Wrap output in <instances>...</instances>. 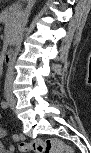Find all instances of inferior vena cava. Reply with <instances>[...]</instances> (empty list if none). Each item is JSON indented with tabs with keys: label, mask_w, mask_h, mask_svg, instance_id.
I'll list each match as a JSON object with an SVG mask.
<instances>
[{
	"label": "inferior vena cava",
	"mask_w": 91,
	"mask_h": 153,
	"mask_svg": "<svg viewBox=\"0 0 91 153\" xmlns=\"http://www.w3.org/2000/svg\"><path fill=\"white\" fill-rule=\"evenodd\" d=\"M35 3V0H28V5L26 9L21 13V24L20 28L17 32L16 35V44H14L15 50H13V53H19L20 47H22V39H23V32H24V27L28 21V17L30 15L31 9ZM12 57L10 58L11 60L9 61V69L6 74V79H5V90L11 95V89H12V82L14 79V63L17 60V54H12Z\"/></svg>",
	"instance_id": "inferior-vena-cava-1"
}]
</instances>
